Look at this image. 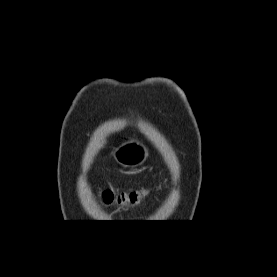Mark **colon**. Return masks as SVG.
Here are the masks:
<instances>
[{
    "mask_svg": "<svg viewBox=\"0 0 277 277\" xmlns=\"http://www.w3.org/2000/svg\"><path fill=\"white\" fill-rule=\"evenodd\" d=\"M102 199L107 205H136L139 203L140 192H113L111 190H106L102 193Z\"/></svg>",
    "mask_w": 277,
    "mask_h": 277,
    "instance_id": "1",
    "label": "colon"
}]
</instances>
